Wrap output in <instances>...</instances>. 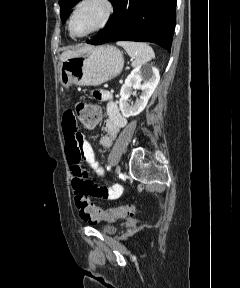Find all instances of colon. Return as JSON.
Returning <instances> with one entry per match:
<instances>
[{
    "label": "colon",
    "instance_id": "colon-1",
    "mask_svg": "<svg viewBox=\"0 0 240 288\" xmlns=\"http://www.w3.org/2000/svg\"><path fill=\"white\" fill-rule=\"evenodd\" d=\"M74 113L84 128L90 129L97 125L101 118V109L98 105L85 101H78ZM75 204L82 219L89 222H113L118 218H126L134 214L132 205H121L116 208L102 210L95 206L87 195L75 193Z\"/></svg>",
    "mask_w": 240,
    "mask_h": 288
}]
</instances>
